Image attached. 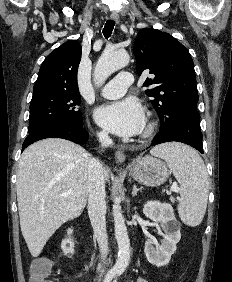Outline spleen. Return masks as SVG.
Returning <instances> with one entry per match:
<instances>
[{"label":"spleen","mask_w":232,"mask_h":282,"mask_svg":"<svg viewBox=\"0 0 232 282\" xmlns=\"http://www.w3.org/2000/svg\"><path fill=\"white\" fill-rule=\"evenodd\" d=\"M151 154L167 162L180 184V219L192 227L199 225L207 208L209 192L208 174L202 158L192 148L179 143L157 146Z\"/></svg>","instance_id":"1"}]
</instances>
